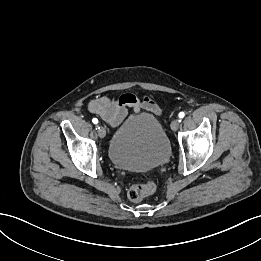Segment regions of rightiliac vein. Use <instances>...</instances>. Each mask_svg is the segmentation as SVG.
<instances>
[{
	"instance_id": "obj_1",
	"label": "right iliac vein",
	"mask_w": 261,
	"mask_h": 261,
	"mask_svg": "<svg viewBox=\"0 0 261 261\" xmlns=\"http://www.w3.org/2000/svg\"><path fill=\"white\" fill-rule=\"evenodd\" d=\"M98 135L100 138H104L106 135V130L103 127L98 126Z\"/></svg>"
}]
</instances>
